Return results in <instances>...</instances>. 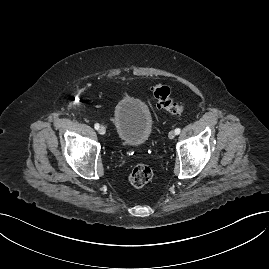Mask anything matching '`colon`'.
<instances>
[{
	"label": "colon",
	"mask_w": 269,
	"mask_h": 269,
	"mask_svg": "<svg viewBox=\"0 0 269 269\" xmlns=\"http://www.w3.org/2000/svg\"><path fill=\"white\" fill-rule=\"evenodd\" d=\"M152 91L160 109L172 114H180L184 111L185 105L172 98L169 87L156 84L152 87ZM152 176V169L148 165L139 164L132 169L129 180L134 187L141 188L151 181Z\"/></svg>",
	"instance_id": "1"
}]
</instances>
